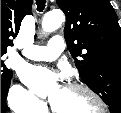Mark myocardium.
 I'll return each mask as SVG.
<instances>
[{
	"instance_id": "f54148a6",
	"label": "myocardium",
	"mask_w": 121,
	"mask_h": 113,
	"mask_svg": "<svg viewBox=\"0 0 121 113\" xmlns=\"http://www.w3.org/2000/svg\"><path fill=\"white\" fill-rule=\"evenodd\" d=\"M66 87L69 89L75 90V91L82 92V93L86 94L89 98H91L93 101H95L96 104L99 106V110L95 113H104L107 110V104L103 100V98L99 94H97L93 89L88 87L87 85L82 84V83L69 82L66 85ZM51 110L54 113H61L56 110V108L53 104H51Z\"/></svg>"
}]
</instances>
